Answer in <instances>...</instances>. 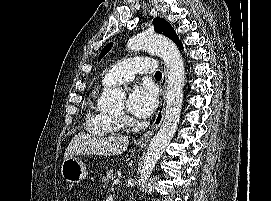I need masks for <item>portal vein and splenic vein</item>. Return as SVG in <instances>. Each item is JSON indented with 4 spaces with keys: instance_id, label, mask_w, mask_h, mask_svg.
<instances>
[{
    "instance_id": "obj_1",
    "label": "portal vein and splenic vein",
    "mask_w": 271,
    "mask_h": 201,
    "mask_svg": "<svg viewBox=\"0 0 271 201\" xmlns=\"http://www.w3.org/2000/svg\"><path fill=\"white\" fill-rule=\"evenodd\" d=\"M120 183V180L119 179H115L114 181H113V184H119Z\"/></svg>"
}]
</instances>
